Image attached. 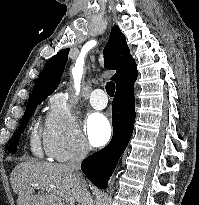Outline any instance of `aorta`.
<instances>
[{
  "label": "aorta",
  "instance_id": "1",
  "mask_svg": "<svg viewBox=\"0 0 199 205\" xmlns=\"http://www.w3.org/2000/svg\"><path fill=\"white\" fill-rule=\"evenodd\" d=\"M82 73H83L82 67H76L73 70V75L75 79V87H76L77 93L80 90V79L82 77Z\"/></svg>",
  "mask_w": 199,
  "mask_h": 205
}]
</instances>
